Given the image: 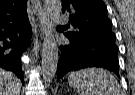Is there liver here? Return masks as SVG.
<instances>
[{
  "label": "liver",
  "instance_id": "6515ba94",
  "mask_svg": "<svg viewBox=\"0 0 135 95\" xmlns=\"http://www.w3.org/2000/svg\"><path fill=\"white\" fill-rule=\"evenodd\" d=\"M21 82L12 72L0 68V95H20Z\"/></svg>",
  "mask_w": 135,
  "mask_h": 95
}]
</instances>
